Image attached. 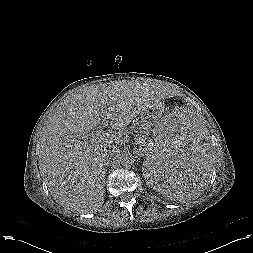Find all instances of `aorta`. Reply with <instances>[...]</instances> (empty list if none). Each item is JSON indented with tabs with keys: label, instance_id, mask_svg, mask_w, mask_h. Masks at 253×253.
<instances>
[{
	"label": "aorta",
	"instance_id": "1",
	"mask_svg": "<svg viewBox=\"0 0 253 253\" xmlns=\"http://www.w3.org/2000/svg\"><path fill=\"white\" fill-rule=\"evenodd\" d=\"M118 161L123 167L127 168L133 165L135 159L132 153L126 151L119 155Z\"/></svg>",
	"mask_w": 253,
	"mask_h": 253
}]
</instances>
